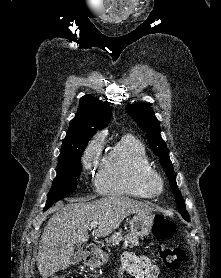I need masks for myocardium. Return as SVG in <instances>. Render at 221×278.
<instances>
[{"label": "myocardium", "mask_w": 221, "mask_h": 278, "mask_svg": "<svg viewBox=\"0 0 221 278\" xmlns=\"http://www.w3.org/2000/svg\"><path fill=\"white\" fill-rule=\"evenodd\" d=\"M141 184L150 197H155L163 191V179L153 168L144 170L141 173Z\"/></svg>", "instance_id": "f54148a6"}]
</instances>
